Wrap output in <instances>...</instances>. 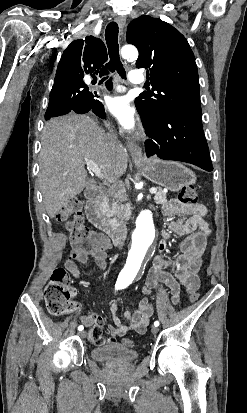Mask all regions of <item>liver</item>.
I'll return each instance as SVG.
<instances>
[{
    "instance_id": "liver-1",
    "label": "liver",
    "mask_w": 247,
    "mask_h": 413,
    "mask_svg": "<svg viewBox=\"0 0 247 413\" xmlns=\"http://www.w3.org/2000/svg\"><path fill=\"white\" fill-rule=\"evenodd\" d=\"M39 152V184L44 207L54 219L69 198L86 184L85 160L98 164L106 182H115L128 166V152L113 144L98 122L86 114L70 112L45 122Z\"/></svg>"
}]
</instances>
